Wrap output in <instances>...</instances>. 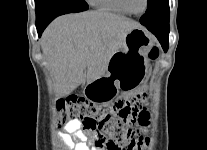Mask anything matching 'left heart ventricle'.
Segmentation results:
<instances>
[{
  "instance_id": "b2bd125f",
  "label": "left heart ventricle",
  "mask_w": 207,
  "mask_h": 150,
  "mask_svg": "<svg viewBox=\"0 0 207 150\" xmlns=\"http://www.w3.org/2000/svg\"><path fill=\"white\" fill-rule=\"evenodd\" d=\"M130 7L135 12H141L145 7V0H129Z\"/></svg>"
}]
</instances>
